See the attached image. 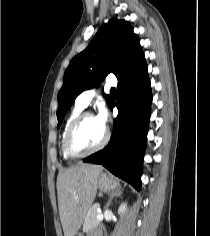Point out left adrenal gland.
<instances>
[{
	"mask_svg": "<svg viewBox=\"0 0 210 236\" xmlns=\"http://www.w3.org/2000/svg\"><path fill=\"white\" fill-rule=\"evenodd\" d=\"M122 194V188L119 187L117 188L115 191H112V193H110V197H109V200L106 204V208L111 204V201L114 197H117V196H120Z\"/></svg>",
	"mask_w": 210,
	"mask_h": 236,
	"instance_id": "a2214340",
	"label": "left adrenal gland"
}]
</instances>
